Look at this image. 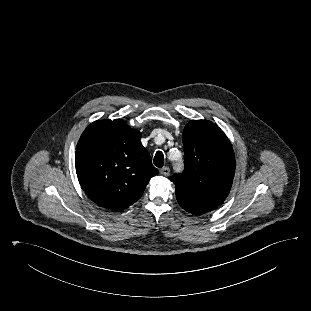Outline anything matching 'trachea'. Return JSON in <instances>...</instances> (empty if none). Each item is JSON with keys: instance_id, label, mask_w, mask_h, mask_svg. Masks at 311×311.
I'll return each instance as SVG.
<instances>
[{"instance_id": "3493384b", "label": "trachea", "mask_w": 311, "mask_h": 311, "mask_svg": "<svg viewBox=\"0 0 311 311\" xmlns=\"http://www.w3.org/2000/svg\"><path fill=\"white\" fill-rule=\"evenodd\" d=\"M154 165L158 168L163 167L164 165V155L161 151H157L154 157Z\"/></svg>"}]
</instances>
